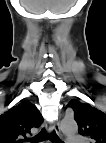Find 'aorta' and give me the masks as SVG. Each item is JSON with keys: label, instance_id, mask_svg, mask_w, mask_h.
I'll list each match as a JSON object with an SVG mask.
<instances>
[{"label": "aorta", "instance_id": "aorta-1", "mask_svg": "<svg viewBox=\"0 0 106 143\" xmlns=\"http://www.w3.org/2000/svg\"><path fill=\"white\" fill-rule=\"evenodd\" d=\"M60 129L65 135L71 136L76 134L78 126L73 118H64L60 123Z\"/></svg>", "mask_w": 106, "mask_h": 143}]
</instances>
